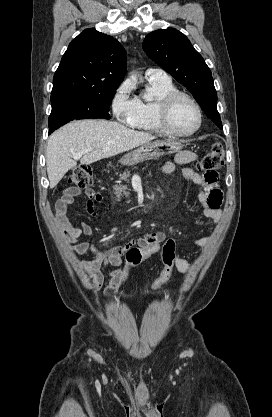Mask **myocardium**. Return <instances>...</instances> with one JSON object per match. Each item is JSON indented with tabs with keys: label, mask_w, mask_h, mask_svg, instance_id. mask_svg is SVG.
<instances>
[{
	"label": "myocardium",
	"mask_w": 272,
	"mask_h": 417,
	"mask_svg": "<svg viewBox=\"0 0 272 417\" xmlns=\"http://www.w3.org/2000/svg\"><path fill=\"white\" fill-rule=\"evenodd\" d=\"M181 99L188 100L196 109L198 115V122L196 127L189 132H179L171 125V112L174 105ZM157 119L161 128L169 135L175 137H190L194 135L202 126L203 112L197 100L190 94L182 91H174L166 95L159 103L157 109Z\"/></svg>",
	"instance_id": "f54148a6"
}]
</instances>
